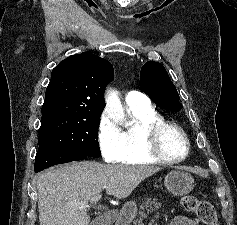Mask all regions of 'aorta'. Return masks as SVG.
<instances>
[{
	"mask_svg": "<svg viewBox=\"0 0 237 225\" xmlns=\"http://www.w3.org/2000/svg\"><path fill=\"white\" fill-rule=\"evenodd\" d=\"M105 103V111L110 118H112L116 122H121L124 120L125 113L115 90L109 89L107 91Z\"/></svg>",
	"mask_w": 237,
	"mask_h": 225,
	"instance_id": "obj_1",
	"label": "aorta"
}]
</instances>
